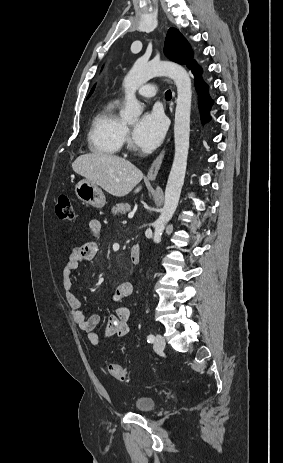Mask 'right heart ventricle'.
<instances>
[{
  "label": "right heart ventricle",
  "instance_id": "e07e8e85",
  "mask_svg": "<svg viewBox=\"0 0 283 463\" xmlns=\"http://www.w3.org/2000/svg\"><path fill=\"white\" fill-rule=\"evenodd\" d=\"M118 101H110L95 114L88 134L92 152L112 156L119 153L125 136V123L117 112Z\"/></svg>",
  "mask_w": 283,
  "mask_h": 463
}]
</instances>
